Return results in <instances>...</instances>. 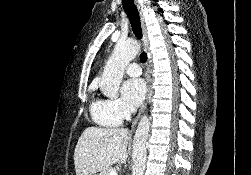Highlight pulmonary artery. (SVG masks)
<instances>
[{
    "label": "pulmonary artery",
    "mask_w": 251,
    "mask_h": 175,
    "mask_svg": "<svg viewBox=\"0 0 251 175\" xmlns=\"http://www.w3.org/2000/svg\"><path fill=\"white\" fill-rule=\"evenodd\" d=\"M125 70L126 73L129 74L130 76H139L142 74V69L140 65L135 61L130 63Z\"/></svg>",
    "instance_id": "obj_1"
}]
</instances>
